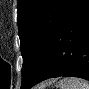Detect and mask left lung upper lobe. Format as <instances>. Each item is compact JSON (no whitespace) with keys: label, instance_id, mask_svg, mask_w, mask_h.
<instances>
[{"label":"left lung upper lobe","instance_id":"obj_1","mask_svg":"<svg viewBox=\"0 0 89 89\" xmlns=\"http://www.w3.org/2000/svg\"><path fill=\"white\" fill-rule=\"evenodd\" d=\"M72 0H18V32L25 89L47 54L54 32Z\"/></svg>","mask_w":89,"mask_h":89}]
</instances>
